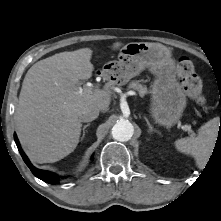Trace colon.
Returning <instances> with one entry per match:
<instances>
[{
  "instance_id": "obj_1",
  "label": "colon",
  "mask_w": 221,
  "mask_h": 221,
  "mask_svg": "<svg viewBox=\"0 0 221 221\" xmlns=\"http://www.w3.org/2000/svg\"><path fill=\"white\" fill-rule=\"evenodd\" d=\"M176 73L187 95L202 104L204 102L203 83L196 73L193 62L188 57L180 58Z\"/></svg>"
}]
</instances>
